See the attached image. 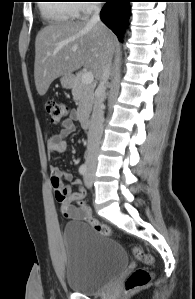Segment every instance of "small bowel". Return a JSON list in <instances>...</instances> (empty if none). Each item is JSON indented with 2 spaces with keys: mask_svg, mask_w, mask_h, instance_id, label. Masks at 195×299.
<instances>
[{
  "mask_svg": "<svg viewBox=\"0 0 195 299\" xmlns=\"http://www.w3.org/2000/svg\"><path fill=\"white\" fill-rule=\"evenodd\" d=\"M77 119V113L72 110L69 116L61 122V128L58 133L52 135L47 141V148L51 152L61 153L66 150L67 142L66 137L75 130V121ZM59 180V187L63 189L67 194V200L60 203V210L64 217L69 219L79 220L81 219L78 214L77 204L81 202L85 197V190L81 187L79 180H73L70 173L61 170L59 167L51 168V183L54 187ZM60 180L67 181L69 185L64 186ZM77 187L76 192H72V188Z\"/></svg>",
  "mask_w": 195,
  "mask_h": 299,
  "instance_id": "small-bowel-1",
  "label": "small bowel"
}]
</instances>
